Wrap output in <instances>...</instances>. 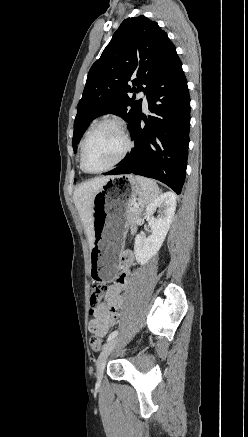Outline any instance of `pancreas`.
Masks as SVG:
<instances>
[{"label":"pancreas","instance_id":"1","mask_svg":"<svg viewBox=\"0 0 248 437\" xmlns=\"http://www.w3.org/2000/svg\"><path fill=\"white\" fill-rule=\"evenodd\" d=\"M140 214L141 210L139 209V207H134V204H131L129 206L126 212V219L131 229H136Z\"/></svg>","mask_w":248,"mask_h":437}]
</instances>
